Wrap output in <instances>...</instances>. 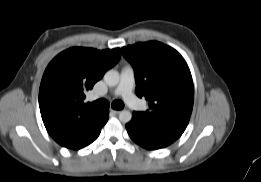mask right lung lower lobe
I'll return each mask as SVG.
<instances>
[{"instance_id": "obj_1", "label": "right lung lower lobe", "mask_w": 261, "mask_h": 182, "mask_svg": "<svg viewBox=\"0 0 261 182\" xmlns=\"http://www.w3.org/2000/svg\"><path fill=\"white\" fill-rule=\"evenodd\" d=\"M108 115L109 111L107 109L101 111L99 118L96 120V122H94L92 126H90L83 139L71 149L78 150L92 143L99 136L101 128L108 121Z\"/></svg>"}]
</instances>
